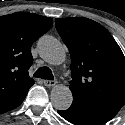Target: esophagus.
<instances>
[{
	"label": "esophagus",
	"mask_w": 125,
	"mask_h": 125,
	"mask_svg": "<svg viewBox=\"0 0 125 125\" xmlns=\"http://www.w3.org/2000/svg\"><path fill=\"white\" fill-rule=\"evenodd\" d=\"M43 84L46 86V87H54L57 85V81H54V80H43Z\"/></svg>",
	"instance_id": "34e87169"
}]
</instances>
